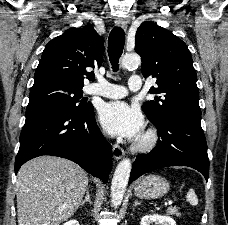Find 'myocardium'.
<instances>
[{"label":"myocardium","mask_w":228,"mask_h":225,"mask_svg":"<svg viewBox=\"0 0 228 225\" xmlns=\"http://www.w3.org/2000/svg\"><path fill=\"white\" fill-rule=\"evenodd\" d=\"M158 142V136L155 130L149 129L146 131L133 145V148L138 151H150Z\"/></svg>","instance_id":"1"}]
</instances>
